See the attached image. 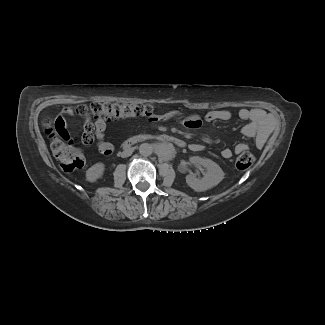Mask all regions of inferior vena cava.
<instances>
[{
    "label": "inferior vena cava",
    "mask_w": 325,
    "mask_h": 325,
    "mask_svg": "<svg viewBox=\"0 0 325 325\" xmlns=\"http://www.w3.org/2000/svg\"><path fill=\"white\" fill-rule=\"evenodd\" d=\"M133 150L132 149H126L122 152V157H128L132 154Z\"/></svg>",
    "instance_id": "1"
}]
</instances>
